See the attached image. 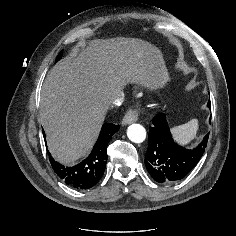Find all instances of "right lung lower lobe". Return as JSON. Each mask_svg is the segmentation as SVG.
Here are the masks:
<instances>
[{"label": "right lung lower lobe", "mask_w": 236, "mask_h": 236, "mask_svg": "<svg viewBox=\"0 0 236 236\" xmlns=\"http://www.w3.org/2000/svg\"><path fill=\"white\" fill-rule=\"evenodd\" d=\"M119 130V125L105 123L90 155L81 163L66 167L49 158L55 173L75 189H89L102 177L107 162V146L110 138ZM45 137V135H44Z\"/></svg>", "instance_id": "98d812e1"}]
</instances>
